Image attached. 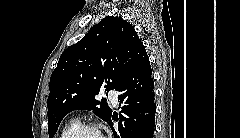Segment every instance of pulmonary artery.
I'll list each match as a JSON object with an SVG mask.
<instances>
[{
	"mask_svg": "<svg viewBox=\"0 0 240 138\" xmlns=\"http://www.w3.org/2000/svg\"><path fill=\"white\" fill-rule=\"evenodd\" d=\"M108 98L111 101V103L113 104V106L116 107L118 104V92L114 91V90L110 91Z\"/></svg>",
	"mask_w": 240,
	"mask_h": 138,
	"instance_id": "obj_1",
	"label": "pulmonary artery"
}]
</instances>
